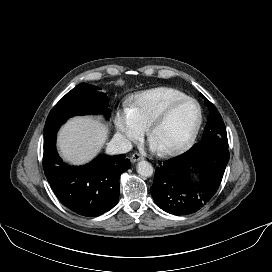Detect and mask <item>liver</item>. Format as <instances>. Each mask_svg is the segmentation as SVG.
I'll return each instance as SVG.
<instances>
[{
	"mask_svg": "<svg viewBox=\"0 0 272 272\" xmlns=\"http://www.w3.org/2000/svg\"><path fill=\"white\" fill-rule=\"evenodd\" d=\"M108 129L93 117H74L59 131L58 147L62 157L72 164L92 159L102 148Z\"/></svg>",
	"mask_w": 272,
	"mask_h": 272,
	"instance_id": "obj_1",
	"label": "liver"
}]
</instances>
